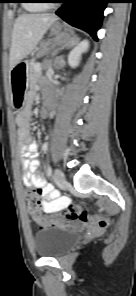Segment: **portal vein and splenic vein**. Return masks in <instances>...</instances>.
Instances as JSON below:
<instances>
[{"label": "portal vein and splenic vein", "mask_w": 136, "mask_h": 296, "mask_svg": "<svg viewBox=\"0 0 136 296\" xmlns=\"http://www.w3.org/2000/svg\"><path fill=\"white\" fill-rule=\"evenodd\" d=\"M35 69H36V71H40V70H41L40 65H37V66L35 67Z\"/></svg>", "instance_id": "1"}]
</instances>
